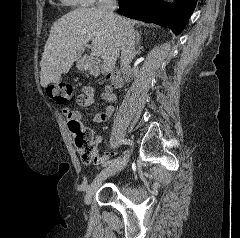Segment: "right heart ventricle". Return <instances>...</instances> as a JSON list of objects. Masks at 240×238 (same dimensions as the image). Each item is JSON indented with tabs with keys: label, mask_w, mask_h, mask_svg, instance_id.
Masks as SVG:
<instances>
[{
	"label": "right heart ventricle",
	"mask_w": 240,
	"mask_h": 238,
	"mask_svg": "<svg viewBox=\"0 0 240 238\" xmlns=\"http://www.w3.org/2000/svg\"><path fill=\"white\" fill-rule=\"evenodd\" d=\"M63 3L74 6V7H81L86 6V2L84 0H61Z\"/></svg>",
	"instance_id": "right-heart-ventricle-1"
}]
</instances>
